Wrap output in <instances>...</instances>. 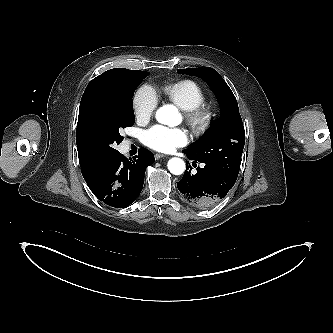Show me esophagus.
<instances>
[{
	"mask_svg": "<svg viewBox=\"0 0 333 333\" xmlns=\"http://www.w3.org/2000/svg\"><path fill=\"white\" fill-rule=\"evenodd\" d=\"M166 156L165 155H163V154H159V153H156L155 154V159L156 160H159V159H161V158H165Z\"/></svg>",
	"mask_w": 333,
	"mask_h": 333,
	"instance_id": "1",
	"label": "esophagus"
}]
</instances>
